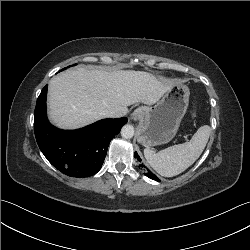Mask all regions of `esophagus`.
<instances>
[{"mask_svg":"<svg viewBox=\"0 0 250 250\" xmlns=\"http://www.w3.org/2000/svg\"><path fill=\"white\" fill-rule=\"evenodd\" d=\"M141 111L140 109H136L131 115H130V119L131 120H134V121H137L140 119L141 117Z\"/></svg>","mask_w":250,"mask_h":250,"instance_id":"1","label":"esophagus"}]
</instances>
